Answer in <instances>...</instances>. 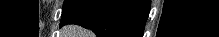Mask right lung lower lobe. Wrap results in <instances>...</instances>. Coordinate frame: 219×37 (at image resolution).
Wrapping results in <instances>:
<instances>
[{"instance_id":"98d812e1","label":"right lung lower lobe","mask_w":219,"mask_h":37,"mask_svg":"<svg viewBox=\"0 0 219 37\" xmlns=\"http://www.w3.org/2000/svg\"><path fill=\"white\" fill-rule=\"evenodd\" d=\"M150 0H75L62 12V24H78L97 37H141Z\"/></svg>"}]
</instances>
